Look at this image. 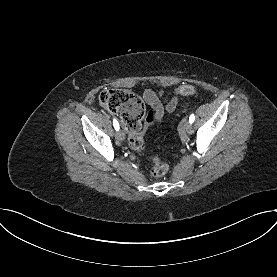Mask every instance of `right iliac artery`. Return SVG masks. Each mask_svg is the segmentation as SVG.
Masks as SVG:
<instances>
[{
    "label": "right iliac artery",
    "instance_id": "82829eb1",
    "mask_svg": "<svg viewBox=\"0 0 277 277\" xmlns=\"http://www.w3.org/2000/svg\"><path fill=\"white\" fill-rule=\"evenodd\" d=\"M113 126H114V128H115V130H119V123L117 122V120H113Z\"/></svg>",
    "mask_w": 277,
    "mask_h": 277
}]
</instances>
